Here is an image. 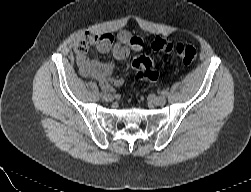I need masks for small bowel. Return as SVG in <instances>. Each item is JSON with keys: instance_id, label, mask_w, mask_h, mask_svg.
Segmentation results:
<instances>
[{"instance_id": "small-bowel-1", "label": "small bowel", "mask_w": 251, "mask_h": 192, "mask_svg": "<svg viewBox=\"0 0 251 192\" xmlns=\"http://www.w3.org/2000/svg\"><path fill=\"white\" fill-rule=\"evenodd\" d=\"M142 40L122 32L114 37L111 33L87 34L77 46V63L83 76L96 80L102 89L110 90L113 86L124 84L123 78L114 77L113 65L99 62L89 56L91 48L100 53L112 52L116 60L126 59L131 51L142 47Z\"/></svg>"}]
</instances>
